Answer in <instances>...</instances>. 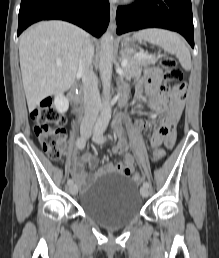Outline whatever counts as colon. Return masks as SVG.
Returning <instances> with one entry per match:
<instances>
[{
	"instance_id": "1",
	"label": "colon",
	"mask_w": 219,
	"mask_h": 258,
	"mask_svg": "<svg viewBox=\"0 0 219 258\" xmlns=\"http://www.w3.org/2000/svg\"><path fill=\"white\" fill-rule=\"evenodd\" d=\"M161 64L164 69L165 81L176 83L177 91L184 92L183 73L177 66L176 60L170 55H164ZM31 117L35 122L34 133L47 156L53 160H60L66 144L65 117L56 110L49 97L44 98L31 111ZM164 158L165 151L162 148H156L153 152L155 164L160 165ZM132 179L135 183H140L143 176L135 173Z\"/></svg>"
}]
</instances>
